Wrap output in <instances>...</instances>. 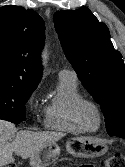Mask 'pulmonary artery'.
Here are the masks:
<instances>
[{"label": "pulmonary artery", "instance_id": "obj_1", "mask_svg": "<svg viewBox=\"0 0 125 167\" xmlns=\"http://www.w3.org/2000/svg\"><path fill=\"white\" fill-rule=\"evenodd\" d=\"M59 78H76V73L71 69H61L59 71Z\"/></svg>", "mask_w": 125, "mask_h": 167}]
</instances>
